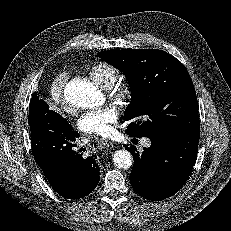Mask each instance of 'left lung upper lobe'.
Segmentation results:
<instances>
[{"mask_svg": "<svg viewBox=\"0 0 231 231\" xmlns=\"http://www.w3.org/2000/svg\"><path fill=\"white\" fill-rule=\"evenodd\" d=\"M127 77L132 92L125 120L135 137L176 138L200 132L198 102L185 66L163 50L124 49L97 54Z\"/></svg>", "mask_w": 231, "mask_h": 231, "instance_id": "left-lung-upper-lobe-1", "label": "left lung upper lobe"}]
</instances>
